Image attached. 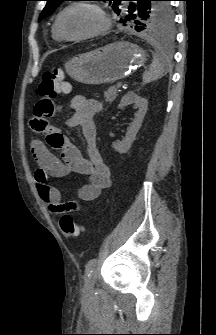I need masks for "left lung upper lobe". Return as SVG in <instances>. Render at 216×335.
Returning a JSON list of instances; mask_svg holds the SVG:
<instances>
[{
	"label": "left lung upper lobe",
	"instance_id": "obj_1",
	"mask_svg": "<svg viewBox=\"0 0 216 335\" xmlns=\"http://www.w3.org/2000/svg\"><path fill=\"white\" fill-rule=\"evenodd\" d=\"M47 4L38 21L49 16L63 1L46 0ZM109 1L114 12L121 17L120 21L132 25L138 32L171 36L173 33V13L169 0H102Z\"/></svg>",
	"mask_w": 216,
	"mask_h": 335
}]
</instances>
